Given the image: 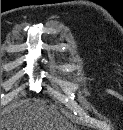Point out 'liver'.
<instances>
[{
    "label": "liver",
    "instance_id": "obj_1",
    "mask_svg": "<svg viewBox=\"0 0 123 130\" xmlns=\"http://www.w3.org/2000/svg\"><path fill=\"white\" fill-rule=\"evenodd\" d=\"M58 111L42 102L20 100L14 109L1 119V130H67Z\"/></svg>",
    "mask_w": 123,
    "mask_h": 130
}]
</instances>
